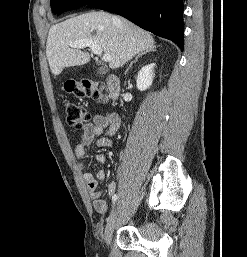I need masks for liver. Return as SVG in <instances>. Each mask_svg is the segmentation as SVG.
Wrapping results in <instances>:
<instances>
[{
  "mask_svg": "<svg viewBox=\"0 0 247 257\" xmlns=\"http://www.w3.org/2000/svg\"><path fill=\"white\" fill-rule=\"evenodd\" d=\"M83 39L94 41L110 55L112 69L123 66L136 54L155 48L151 34L126 19L103 11L85 13L50 28L46 55L53 75H59L65 67L81 66L90 61L88 52L69 46Z\"/></svg>",
  "mask_w": 247,
  "mask_h": 257,
  "instance_id": "liver-1",
  "label": "liver"
}]
</instances>
